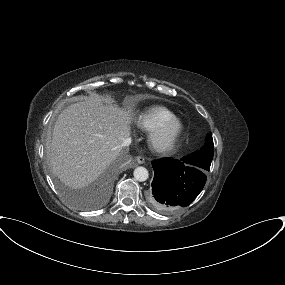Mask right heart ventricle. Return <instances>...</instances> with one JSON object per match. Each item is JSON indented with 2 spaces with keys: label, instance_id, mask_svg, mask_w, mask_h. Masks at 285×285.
Masks as SVG:
<instances>
[{
  "label": "right heart ventricle",
  "instance_id": "obj_1",
  "mask_svg": "<svg viewBox=\"0 0 285 285\" xmlns=\"http://www.w3.org/2000/svg\"><path fill=\"white\" fill-rule=\"evenodd\" d=\"M175 115L164 107H153L143 113L137 118V125L146 131H153L162 124L175 119Z\"/></svg>",
  "mask_w": 285,
  "mask_h": 285
}]
</instances>
